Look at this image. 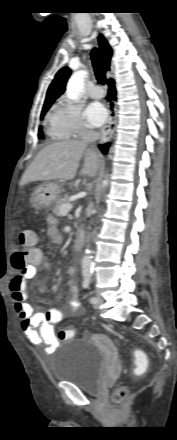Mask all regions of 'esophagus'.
Masks as SVG:
<instances>
[{
  "mask_svg": "<svg viewBox=\"0 0 177 440\" xmlns=\"http://www.w3.org/2000/svg\"><path fill=\"white\" fill-rule=\"evenodd\" d=\"M116 122V105L112 102L108 105V120L101 131L100 143H106L111 139L116 128Z\"/></svg>",
  "mask_w": 177,
  "mask_h": 440,
  "instance_id": "1",
  "label": "esophagus"
}]
</instances>
